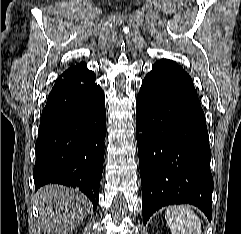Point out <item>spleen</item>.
<instances>
[{
    "instance_id": "spleen-1",
    "label": "spleen",
    "mask_w": 241,
    "mask_h": 234,
    "mask_svg": "<svg viewBox=\"0 0 241 234\" xmlns=\"http://www.w3.org/2000/svg\"><path fill=\"white\" fill-rule=\"evenodd\" d=\"M165 219L171 234H202L199 217L186 205L166 209Z\"/></svg>"
}]
</instances>
